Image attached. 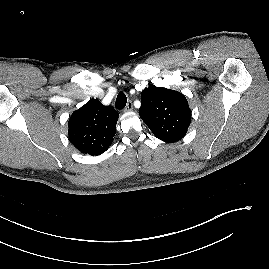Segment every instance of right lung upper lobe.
Masks as SVG:
<instances>
[{
	"instance_id": "obj_1",
	"label": "right lung upper lobe",
	"mask_w": 269,
	"mask_h": 269,
	"mask_svg": "<svg viewBox=\"0 0 269 269\" xmlns=\"http://www.w3.org/2000/svg\"><path fill=\"white\" fill-rule=\"evenodd\" d=\"M117 120L114 108L90 100L71 115L69 140L82 153L100 155L113 141Z\"/></svg>"
}]
</instances>
